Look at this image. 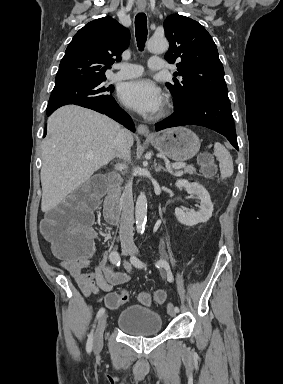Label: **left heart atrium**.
<instances>
[{
	"label": "left heart atrium",
	"mask_w": 283,
	"mask_h": 384,
	"mask_svg": "<svg viewBox=\"0 0 283 384\" xmlns=\"http://www.w3.org/2000/svg\"><path fill=\"white\" fill-rule=\"evenodd\" d=\"M120 100L141 114H155L162 106V93L152 82L135 80L123 85L119 91Z\"/></svg>",
	"instance_id": "39dd6f15"
}]
</instances>
